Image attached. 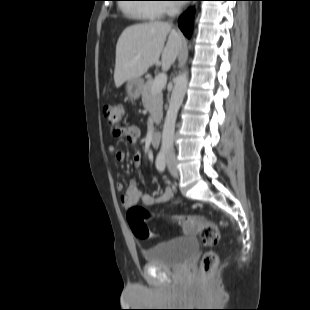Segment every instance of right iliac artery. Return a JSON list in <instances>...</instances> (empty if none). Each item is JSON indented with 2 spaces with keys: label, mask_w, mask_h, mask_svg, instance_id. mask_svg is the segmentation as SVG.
<instances>
[{
  "label": "right iliac artery",
  "mask_w": 310,
  "mask_h": 310,
  "mask_svg": "<svg viewBox=\"0 0 310 310\" xmlns=\"http://www.w3.org/2000/svg\"><path fill=\"white\" fill-rule=\"evenodd\" d=\"M167 150L162 149L156 158V167L160 172H163L166 166Z\"/></svg>",
  "instance_id": "82829eb1"
}]
</instances>
